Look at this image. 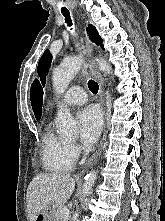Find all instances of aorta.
Wrapping results in <instances>:
<instances>
[{"mask_svg":"<svg viewBox=\"0 0 165 221\" xmlns=\"http://www.w3.org/2000/svg\"><path fill=\"white\" fill-rule=\"evenodd\" d=\"M96 61L99 65L100 71L104 72L105 74L111 73V66L106 60L97 58ZM82 64L83 60L81 58L74 57L63 61L57 68L53 70V85L58 93L62 94L65 92L71 80L81 69ZM57 128L58 131L64 135H71L77 132L76 122L68 109H60L57 115ZM96 178L97 172L95 171H91L85 176L82 189V194L84 197L90 194Z\"/></svg>","mask_w":165,"mask_h":221,"instance_id":"762f6f07","label":"aorta"}]
</instances>
